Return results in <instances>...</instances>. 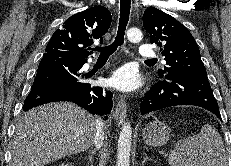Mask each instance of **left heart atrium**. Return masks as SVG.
<instances>
[{
	"label": "left heart atrium",
	"mask_w": 231,
	"mask_h": 166,
	"mask_svg": "<svg viewBox=\"0 0 231 166\" xmlns=\"http://www.w3.org/2000/svg\"><path fill=\"white\" fill-rule=\"evenodd\" d=\"M111 85L119 90L132 92L141 86V78L133 66H123L117 69L110 79Z\"/></svg>",
	"instance_id": "1"
}]
</instances>
